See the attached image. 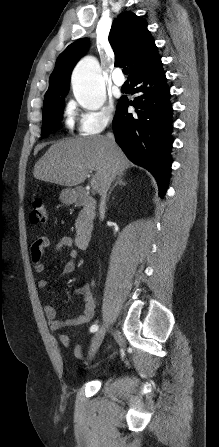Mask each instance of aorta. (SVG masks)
Segmentation results:
<instances>
[{"label": "aorta", "instance_id": "762f6f07", "mask_svg": "<svg viewBox=\"0 0 219 447\" xmlns=\"http://www.w3.org/2000/svg\"><path fill=\"white\" fill-rule=\"evenodd\" d=\"M72 87L83 108L95 111L103 106L106 92L99 63L94 57L87 56L78 62L72 73Z\"/></svg>", "mask_w": 219, "mask_h": 447}]
</instances>
